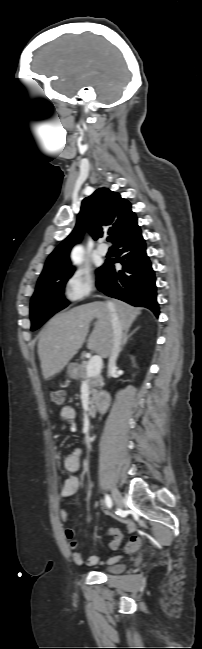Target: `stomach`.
Returning <instances> with one entry per match:
<instances>
[{"label": "stomach", "mask_w": 202, "mask_h": 649, "mask_svg": "<svg viewBox=\"0 0 202 649\" xmlns=\"http://www.w3.org/2000/svg\"><path fill=\"white\" fill-rule=\"evenodd\" d=\"M68 374L71 378H76L78 371H77V366L75 364H69L68 366Z\"/></svg>", "instance_id": "stomach-1"}]
</instances>
